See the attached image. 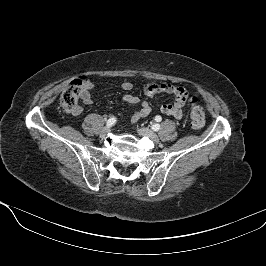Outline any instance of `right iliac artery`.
<instances>
[{"label": "right iliac artery", "mask_w": 266, "mask_h": 266, "mask_svg": "<svg viewBox=\"0 0 266 266\" xmlns=\"http://www.w3.org/2000/svg\"><path fill=\"white\" fill-rule=\"evenodd\" d=\"M116 123V118L115 117H111L108 121H107V126L111 127Z\"/></svg>", "instance_id": "right-iliac-artery-1"}]
</instances>
